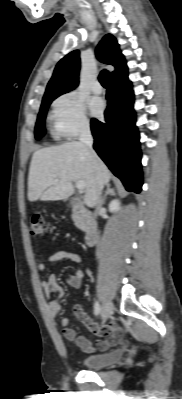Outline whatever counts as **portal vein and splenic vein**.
<instances>
[{
    "label": "portal vein and splenic vein",
    "mask_w": 182,
    "mask_h": 399,
    "mask_svg": "<svg viewBox=\"0 0 182 399\" xmlns=\"http://www.w3.org/2000/svg\"><path fill=\"white\" fill-rule=\"evenodd\" d=\"M76 187L78 190L83 191L85 189V184L83 181H76Z\"/></svg>",
    "instance_id": "portal-vein-and-splenic-vein-1"
}]
</instances>
